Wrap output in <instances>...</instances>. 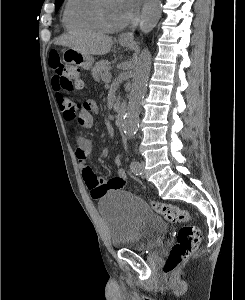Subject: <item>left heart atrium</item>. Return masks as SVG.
<instances>
[{
  "label": "left heart atrium",
  "instance_id": "39dd6f15",
  "mask_svg": "<svg viewBox=\"0 0 245 300\" xmlns=\"http://www.w3.org/2000/svg\"><path fill=\"white\" fill-rule=\"evenodd\" d=\"M120 1L127 13L128 18H131L134 16L141 0H120Z\"/></svg>",
  "mask_w": 245,
  "mask_h": 300
}]
</instances>
